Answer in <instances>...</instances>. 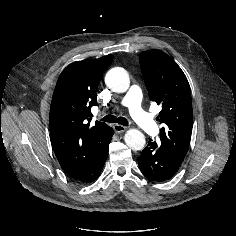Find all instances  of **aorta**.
<instances>
[{
    "mask_svg": "<svg viewBox=\"0 0 236 236\" xmlns=\"http://www.w3.org/2000/svg\"><path fill=\"white\" fill-rule=\"evenodd\" d=\"M106 85L114 92H125L130 85L127 71L121 67L110 69L105 76ZM125 143L132 150H142L145 146V136L137 129H129L125 134Z\"/></svg>",
    "mask_w": 236,
    "mask_h": 236,
    "instance_id": "762f6f07",
    "label": "aorta"
}]
</instances>
